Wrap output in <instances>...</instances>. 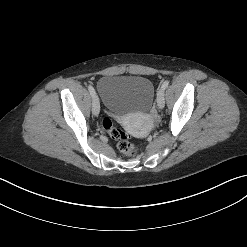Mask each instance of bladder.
<instances>
[{
	"label": "bladder",
	"mask_w": 247,
	"mask_h": 247,
	"mask_svg": "<svg viewBox=\"0 0 247 247\" xmlns=\"http://www.w3.org/2000/svg\"><path fill=\"white\" fill-rule=\"evenodd\" d=\"M96 90L115 118L129 112H147L154 96L152 82L140 76H105Z\"/></svg>",
	"instance_id": "31cf9c89"
}]
</instances>
